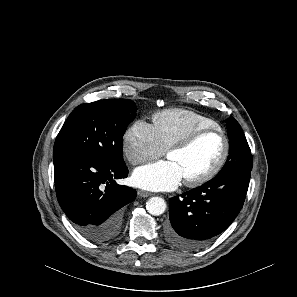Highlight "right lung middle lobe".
<instances>
[{"label": "right lung middle lobe", "mask_w": 297, "mask_h": 297, "mask_svg": "<svg viewBox=\"0 0 297 297\" xmlns=\"http://www.w3.org/2000/svg\"><path fill=\"white\" fill-rule=\"evenodd\" d=\"M136 105L127 99H106L76 107L62 126L53 155L77 153L111 164H125L123 135L136 117Z\"/></svg>", "instance_id": "obj_1"}]
</instances>
